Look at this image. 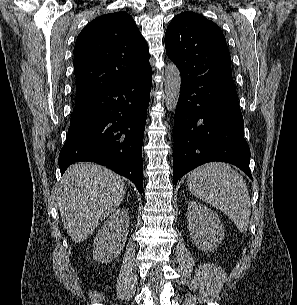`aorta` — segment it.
<instances>
[{
    "instance_id": "762f6f07",
    "label": "aorta",
    "mask_w": 297,
    "mask_h": 305,
    "mask_svg": "<svg viewBox=\"0 0 297 305\" xmlns=\"http://www.w3.org/2000/svg\"><path fill=\"white\" fill-rule=\"evenodd\" d=\"M165 104L169 111H174L180 96L181 74L174 63H170L165 68Z\"/></svg>"
}]
</instances>
